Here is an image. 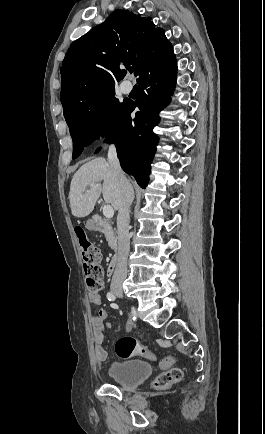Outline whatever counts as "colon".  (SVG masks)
Segmentation results:
<instances>
[{
    "label": "colon",
    "instance_id": "colon-1",
    "mask_svg": "<svg viewBox=\"0 0 265 434\" xmlns=\"http://www.w3.org/2000/svg\"><path fill=\"white\" fill-rule=\"evenodd\" d=\"M74 234L83 259L87 289L96 296L100 295L104 289L103 270L100 266V249L89 239L83 227L76 226ZM114 350L121 360L135 356H145L147 353L146 348L134 336L130 335L118 340L115 343ZM158 365L166 371L155 379L156 387L169 388L182 378V371L179 368L172 367L173 359L171 357L161 359Z\"/></svg>",
    "mask_w": 265,
    "mask_h": 434
}]
</instances>
